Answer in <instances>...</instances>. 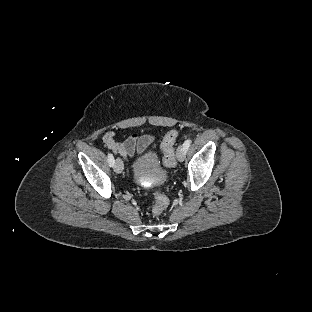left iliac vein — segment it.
Wrapping results in <instances>:
<instances>
[{"label": "left iliac vein", "instance_id": "obj_1", "mask_svg": "<svg viewBox=\"0 0 312 312\" xmlns=\"http://www.w3.org/2000/svg\"><path fill=\"white\" fill-rule=\"evenodd\" d=\"M185 149L183 147H179L177 150V158L179 161H184L185 159Z\"/></svg>", "mask_w": 312, "mask_h": 312}]
</instances>
